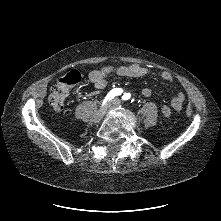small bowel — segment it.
Returning <instances> with one entry per match:
<instances>
[{
	"mask_svg": "<svg viewBox=\"0 0 221 221\" xmlns=\"http://www.w3.org/2000/svg\"><path fill=\"white\" fill-rule=\"evenodd\" d=\"M148 73L147 68L139 64H131L126 66L114 67L111 65L95 69L89 73V80L94 84L97 89H103L106 86L107 79L112 75H119L123 77L130 78H140ZM161 77L165 81H173V76L168 71H163ZM142 94L145 97H150L152 95V90L149 88H144ZM185 100V95L183 92H179L176 97L171 101V107L174 111L179 112L182 109L183 102Z\"/></svg>",
	"mask_w": 221,
	"mask_h": 221,
	"instance_id": "obj_1",
	"label": "small bowel"
}]
</instances>
